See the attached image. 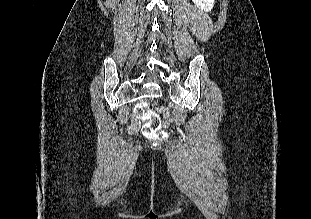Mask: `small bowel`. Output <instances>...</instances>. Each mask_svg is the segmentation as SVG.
Listing matches in <instances>:
<instances>
[{
    "mask_svg": "<svg viewBox=\"0 0 311 219\" xmlns=\"http://www.w3.org/2000/svg\"><path fill=\"white\" fill-rule=\"evenodd\" d=\"M162 111H165V110L162 109ZM166 123H167V121H166ZM137 128H138V120L136 118H134L132 121L131 130L136 131Z\"/></svg>",
    "mask_w": 311,
    "mask_h": 219,
    "instance_id": "1",
    "label": "small bowel"
}]
</instances>
